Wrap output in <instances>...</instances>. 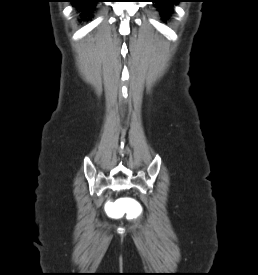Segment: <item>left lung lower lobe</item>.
Returning <instances> with one entry per match:
<instances>
[{
    "label": "left lung lower lobe",
    "instance_id": "1",
    "mask_svg": "<svg viewBox=\"0 0 258 275\" xmlns=\"http://www.w3.org/2000/svg\"><path fill=\"white\" fill-rule=\"evenodd\" d=\"M153 2L157 3L158 9L161 11V14L163 15L162 18L166 19V15L172 8V4L179 2V0H153Z\"/></svg>",
    "mask_w": 258,
    "mask_h": 275
}]
</instances>
